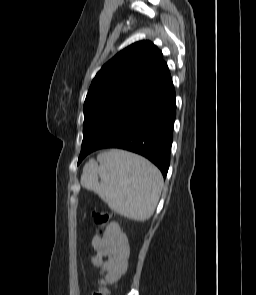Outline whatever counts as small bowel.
Wrapping results in <instances>:
<instances>
[{
	"instance_id": "c3829d8e",
	"label": "small bowel",
	"mask_w": 256,
	"mask_h": 295,
	"mask_svg": "<svg viewBox=\"0 0 256 295\" xmlns=\"http://www.w3.org/2000/svg\"><path fill=\"white\" fill-rule=\"evenodd\" d=\"M92 245L98 254L107 260L102 262L99 257L93 258L95 266H101L108 271L111 281H116L125 272L129 258V243L127 236L116 222L109 224L102 236H95Z\"/></svg>"
}]
</instances>
